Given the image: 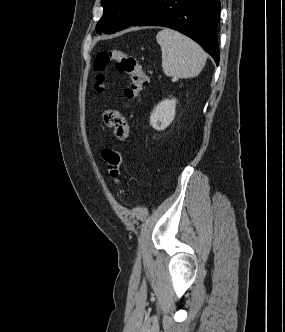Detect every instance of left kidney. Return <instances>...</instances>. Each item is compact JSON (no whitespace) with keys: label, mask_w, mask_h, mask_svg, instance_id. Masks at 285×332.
Returning <instances> with one entry per match:
<instances>
[{"label":"left kidney","mask_w":285,"mask_h":332,"mask_svg":"<svg viewBox=\"0 0 285 332\" xmlns=\"http://www.w3.org/2000/svg\"><path fill=\"white\" fill-rule=\"evenodd\" d=\"M176 99H165L161 101L150 115V124L158 131L164 130L168 127L174 117L176 108Z\"/></svg>","instance_id":"left-kidney-1"}]
</instances>
